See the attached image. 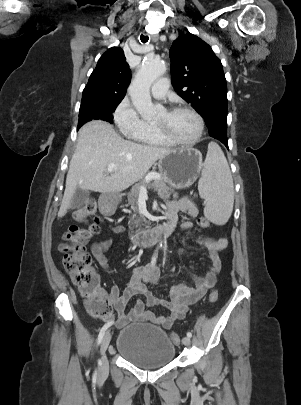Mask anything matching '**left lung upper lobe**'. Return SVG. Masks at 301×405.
<instances>
[{"label": "left lung upper lobe", "instance_id": "1", "mask_svg": "<svg viewBox=\"0 0 301 405\" xmlns=\"http://www.w3.org/2000/svg\"><path fill=\"white\" fill-rule=\"evenodd\" d=\"M172 85L202 115L209 135L227 137V86L221 61L199 37L179 36L170 48Z\"/></svg>", "mask_w": 301, "mask_h": 405}]
</instances>
